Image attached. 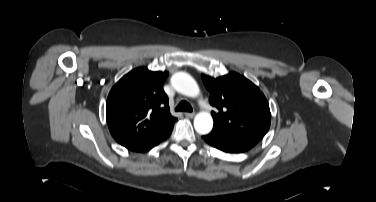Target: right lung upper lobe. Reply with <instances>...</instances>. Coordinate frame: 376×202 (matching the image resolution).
<instances>
[{
  "label": "right lung upper lobe",
  "mask_w": 376,
  "mask_h": 202,
  "mask_svg": "<svg viewBox=\"0 0 376 202\" xmlns=\"http://www.w3.org/2000/svg\"><path fill=\"white\" fill-rule=\"evenodd\" d=\"M168 72L139 67L123 76L111 89L106 119L113 138L133 150L155 141L176 120L170 114L162 84Z\"/></svg>",
  "instance_id": "1"
}]
</instances>
